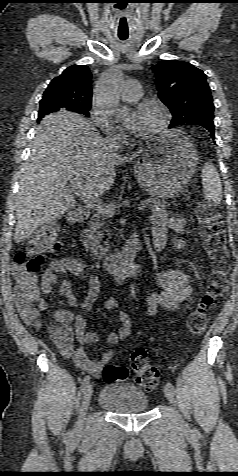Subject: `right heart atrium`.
Wrapping results in <instances>:
<instances>
[{"instance_id":"obj_1","label":"right heart atrium","mask_w":238,"mask_h":476,"mask_svg":"<svg viewBox=\"0 0 238 476\" xmlns=\"http://www.w3.org/2000/svg\"><path fill=\"white\" fill-rule=\"evenodd\" d=\"M91 120L93 123L103 132L107 137L119 138L121 137V131L114 125L103 111L96 107H93L90 111Z\"/></svg>"}]
</instances>
